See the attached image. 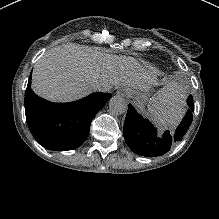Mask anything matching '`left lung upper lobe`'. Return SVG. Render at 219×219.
Segmentation results:
<instances>
[{"label": "left lung upper lobe", "mask_w": 219, "mask_h": 219, "mask_svg": "<svg viewBox=\"0 0 219 219\" xmlns=\"http://www.w3.org/2000/svg\"><path fill=\"white\" fill-rule=\"evenodd\" d=\"M190 101H192V97H189L187 100V102H190Z\"/></svg>", "instance_id": "left-lung-upper-lobe-1"}]
</instances>
